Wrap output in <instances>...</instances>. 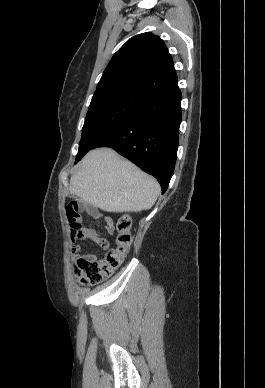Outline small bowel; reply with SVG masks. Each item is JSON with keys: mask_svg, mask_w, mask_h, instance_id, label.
<instances>
[{"mask_svg": "<svg viewBox=\"0 0 265 388\" xmlns=\"http://www.w3.org/2000/svg\"><path fill=\"white\" fill-rule=\"evenodd\" d=\"M88 214L93 217V218H103L104 224H105V229L108 233H112L114 231V225L113 222L107 218V217H102V215L95 209H89ZM89 234L87 239L94 241L100 248L102 249H107L109 244L106 239L100 237L95 231L93 230H88ZM79 251L78 247L73 248V252L77 253ZM84 257L89 260H96V256L94 254H86ZM78 258V257H77Z\"/></svg>", "mask_w": 265, "mask_h": 388, "instance_id": "c3829d8e", "label": "small bowel"}]
</instances>
